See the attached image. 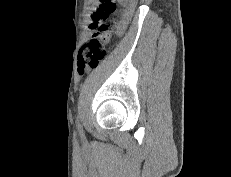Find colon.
<instances>
[{
  "label": "colon",
  "mask_w": 231,
  "mask_h": 177,
  "mask_svg": "<svg viewBox=\"0 0 231 177\" xmlns=\"http://www.w3.org/2000/svg\"><path fill=\"white\" fill-rule=\"evenodd\" d=\"M117 1L129 6H133L135 2V0H99V6L91 14L89 23L92 34L78 51L77 65L80 74L94 70L105 58V44L112 33L109 18L116 10Z\"/></svg>",
  "instance_id": "obj_1"
}]
</instances>
